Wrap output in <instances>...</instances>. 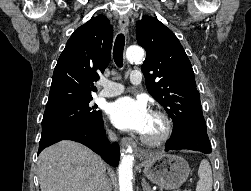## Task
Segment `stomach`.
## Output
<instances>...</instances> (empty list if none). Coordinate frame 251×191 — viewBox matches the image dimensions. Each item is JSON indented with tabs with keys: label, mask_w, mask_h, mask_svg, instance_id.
Here are the masks:
<instances>
[{
	"label": "stomach",
	"mask_w": 251,
	"mask_h": 191,
	"mask_svg": "<svg viewBox=\"0 0 251 191\" xmlns=\"http://www.w3.org/2000/svg\"><path fill=\"white\" fill-rule=\"evenodd\" d=\"M145 161L141 163L144 167L143 173L152 181L158 183L165 189H176L186 181L190 167L188 161L180 155L173 153H156V155H144Z\"/></svg>",
	"instance_id": "0dacf381"
}]
</instances>
